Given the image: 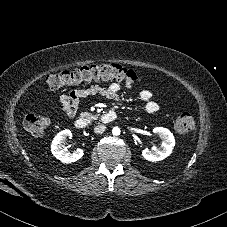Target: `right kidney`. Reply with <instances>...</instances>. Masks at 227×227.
Listing matches in <instances>:
<instances>
[{"instance_id":"ca27d5eb","label":"right kidney","mask_w":227,"mask_h":227,"mask_svg":"<svg viewBox=\"0 0 227 227\" xmlns=\"http://www.w3.org/2000/svg\"><path fill=\"white\" fill-rule=\"evenodd\" d=\"M72 135L71 131L66 129L59 132L53 139L51 144L52 154L63 163L76 162L82 158L84 151L82 149H77L74 152H69L67 147H65L66 138Z\"/></svg>"}]
</instances>
